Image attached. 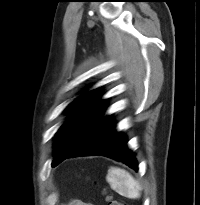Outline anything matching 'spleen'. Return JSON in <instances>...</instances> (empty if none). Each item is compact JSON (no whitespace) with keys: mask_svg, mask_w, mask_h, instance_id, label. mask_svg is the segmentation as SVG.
Instances as JSON below:
<instances>
[{"mask_svg":"<svg viewBox=\"0 0 200 205\" xmlns=\"http://www.w3.org/2000/svg\"><path fill=\"white\" fill-rule=\"evenodd\" d=\"M106 180L111 188L122 196L135 199L141 195L140 184L124 169L110 167Z\"/></svg>","mask_w":200,"mask_h":205,"instance_id":"spleen-1","label":"spleen"}]
</instances>
